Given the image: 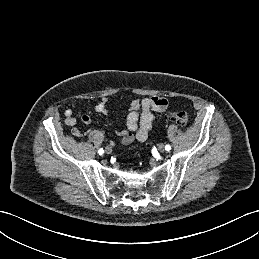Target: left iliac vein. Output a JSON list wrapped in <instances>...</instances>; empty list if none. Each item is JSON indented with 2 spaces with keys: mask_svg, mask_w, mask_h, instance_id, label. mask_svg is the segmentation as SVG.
Returning a JSON list of instances; mask_svg holds the SVG:
<instances>
[{
  "mask_svg": "<svg viewBox=\"0 0 259 259\" xmlns=\"http://www.w3.org/2000/svg\"><path fill=\"white\" fill-rule=\"evenodd\" d=\"M158 150L160 151V152H164L165 151V147H164V144H159L158 145Z\"/></svg>",
  "mask_w": 259,
  "mask_h": 259,
  "instance_id": "obj_1",
  "label": "left iliac vein"
}]
</instances>
